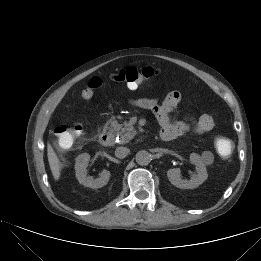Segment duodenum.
I'll list each match as a JSON object with an SVG mask.
<instances>
[{
    "instance_id": "obj_1",
    "label": "duodenum",
    "mask_w": 261,
    "mask_h": 261,
    "mask_svg": "<svg viewBox=\"0 0 261 261\" xmlns=\"http://www.w3.org/2000/svg\"><path fill=\"white\" fill-rule=\"evenodd\" d=\"M99 141L105 147L112 146L115 142L114 135L109 130L103 131L99 135Z\"/></svg>"
}]
</instances>
